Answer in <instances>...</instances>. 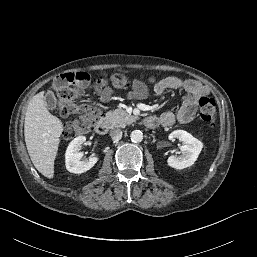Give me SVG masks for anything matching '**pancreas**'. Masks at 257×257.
Masks as SVG:
<instances>
[{
	"mask_svg": "<svg viewBox=\"0 0 257 257\" xmlns=\"http://www.w3.org/2000/svg\"><path fill=\"white\" fill-rule=\"evenodd\" d=\"M136 120V117L127 114L123 109H115L108 111L105 116V121L111 128H124Z\"/></svg>",
	"mask_w": 257,
	"mask_h": 257,
	"instance_id": "obj_1",
	"label": "pancreas"
}]
</instances>
